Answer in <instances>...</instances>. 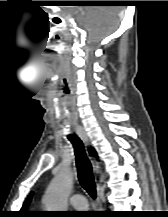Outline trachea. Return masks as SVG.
<instances>
[{
    "label": "trachea",
    "mask_w": 168,
    "mask_h": 217,
    "mask_svg": "<svg viewBox=\"0 0 168 217\" xmlns=\"http://www.w3.org/2000/svg\"><path fill=\"white\" fill-rule=\"evenodd\" d=\"M68 139L74 147L79 182L92 198H96V185L93 169L91 162L84 151L83 143L76 135H69Z\"/></svg>",
    "instance_id": "trachea-1"
}]
</instances>
